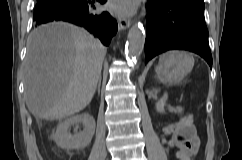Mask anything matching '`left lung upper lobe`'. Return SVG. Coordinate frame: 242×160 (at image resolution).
<instances>
[{
	"mask_svg": "<svg viewBox=\"0 0 242 160\" xmlns=\"http://www.w3.org/2000/svg\"><path fill=\"white\" fill-rule=\"evenodd\" d=\"M161 1L168 2L171 5H187V6H192V7L204 10L203 0H161Z\"/></svg>",
	"mask_w": 242,
	"mask_h": 160,
	"instance_id": "1",
	"label": "left lung upper lobe"
}]
</instances>
